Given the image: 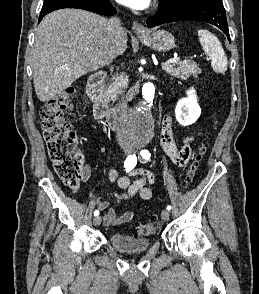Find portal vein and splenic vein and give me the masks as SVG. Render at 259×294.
I'll list each match as a JSON object with an SVG mask.
<instances>
[{
	"mask_svg": "<svg viewBox=\"0 0 259 294\" xmlns=\"http://www.w3.org/2000/svg\"><path fill=\"white\" fill-rule=\"evenodd\" d=\"M179 61V58H172V59H169L167 60L164 65H167V64H172V63H177Z\"/></svg>",
	"mask_w": 259,
	"mask_h": 294,
	"instance_id": "18ae733b",
	"label": "portal vein and splenic vein"
}]
</instances>
